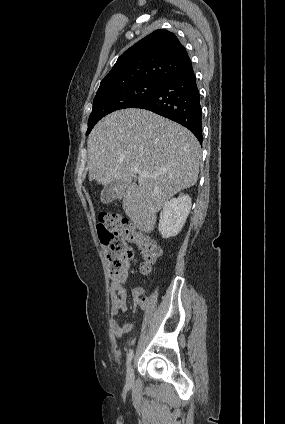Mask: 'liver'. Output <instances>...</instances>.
<instances>
[{
	"label": "liver",
	"instance_id": "obj_1",
	"mask_svg": "<svg viewBox=\"0 0 285 424\" xmlns=\"http://www.w3.org/2000/svg\"><path fill=\"white\" fill-rule=\"evenodd\" d=\"M89 181L126 183L123 210L151 232L163 204L198 180L200 144L178 123L144 109H123L101 119L88 137ZM133 166L148 173L132 182Z\"/></svg>",
	"mask_w": 285,
	"mask_h": 424
}]
</instances>
